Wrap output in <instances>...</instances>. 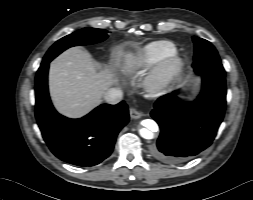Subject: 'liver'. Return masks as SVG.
I'll return each instance as SVG.
<instances>
[{"mask_svg":"<svg viewBox=\"0 0 253 200\" xmlns=\"http://www.w3.org/2000/svg\"><path fill=\"white\" fill-rule=\"evenodd\" d=\"M130 71L139 67L133 53L125 55ZM115 83L109 69L98 71L91 55L72 47L50 64L49 90L55 108L63 115L78 118L97 106L108 88Z\"/></svg>","mask_w":253,"mask_h":200,"instance_id":"liver-1","label":"liver"}]
</instances>
